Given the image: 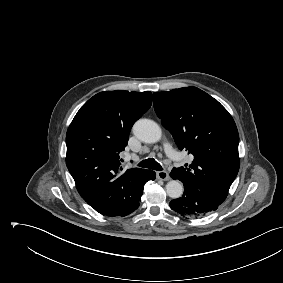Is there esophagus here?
Returning <instances> with one entry per match:
<instances>
[{
	"instance_id": "34e87169",
	"label": "esophagus",
	"mask_w": 283,
	"mask_h": 283,
	"mask_svg": "<svg viewBox=\"0 0 283 283\" xmlns=\"http://www.w3.org/2000/svg\"><path fill=\"white\" fill-rule=\"evenodd\" d=\"M156 175L160 180L167 181L170 179L169 173L167 171H158Z\"/></svg>"
}]
</instances>
